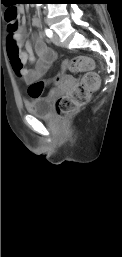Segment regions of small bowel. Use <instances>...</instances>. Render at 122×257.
Masks as SVG:
<instances>
[{
  "label": "small bowel",
  "mask_w": 122,
  "mask_h": 257,
  "mask_svg": "<svg viewBox=\"0 0 122 257\" xmlns=\"http://www.w3.org/2000/svg\"><path fill=\"white\" fill-rule=\"evenodd\" d=\"M17 11L24 19V8L19 7ZM32 24L39 28L40 20L34 18ZM7 29V60L8 64H12L11 73H17V78H23L27 83L38 82V79L43 78L50 70L56 59L55 52L47 46L41 35L35 36L34 43L26 39L23 25H18L13 32L9 31L8 25ZM33 51L38 56L35 69L26 67L28 62L36 61Z\"/></svg>",
  "instance_id": "obj_1"
}]
</instances>
